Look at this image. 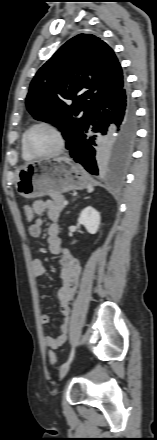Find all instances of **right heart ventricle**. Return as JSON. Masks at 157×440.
Wrapping results in <instances>:
<instances>
[{"label": "right heart ventricle", "mask_w": 157, "mask_h": 440, "mask_svg": "<svg viewBox=\"0 0 157 440\" xmlns=\"http://www.w3.org/2000/svg\"><path fill=\"white\" fill-rule=\"evenodd\" d=\"M25 134V133H24ZM24 134L22 136L21 139V153H22V157L26 160H30L33 157L28 153V151L26 150L25 146H24Z\"/></svg>", "instance_id": "right-heart-ventricle-1"}]
</instances>
